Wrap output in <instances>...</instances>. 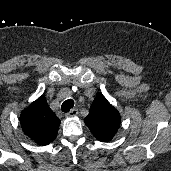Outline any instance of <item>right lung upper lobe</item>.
<instances>
[{"label": "right lung upper lobe", "mask_w": 171, "mask_h": 171, "mask_svg": "<svg viewBox=\"0 0 171 171\" xmlns=\"http://www.w3.org/2000/svg\"><path fill=\"white\" fill-rule=\"evenodd\" d=\"M20 123L24 134L31 140L38 145H47L56 138L60 120L46 99L40 97L21 113Z\"/></svg>", "instance_id": "cb5924a9"}]
</instances>
